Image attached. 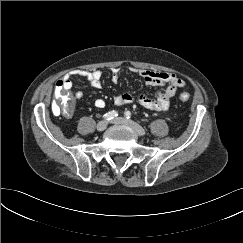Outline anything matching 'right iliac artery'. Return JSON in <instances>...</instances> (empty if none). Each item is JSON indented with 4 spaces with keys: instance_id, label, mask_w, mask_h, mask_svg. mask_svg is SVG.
<instances>
[{
    "instance_id": "obj_1",
    "label": "right iliac artery",
    "mask_w": 243,
    "mask_h": 243,
    "mask_svg": "<svg viewBox=\"0 0 243 243\" xmlns=\"http://www.w3.org/2000/svg\"><path fill=\"white\" fill-rule=\"evenodd\" d=\"M118 116V113H117V111H110V112H107L106 114H104L103 115V118L105 119V120H112V119H114L115 117H117Z\"/></svg>"
}]
</instances>
